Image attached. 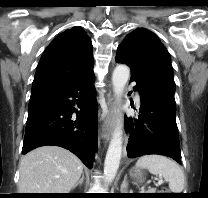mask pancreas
<instances>
[{
	"label": "pancreas",
	"instance_id": "cf45deb5",
	"mask_svg": "<svg viewBox=\"0 0 208 198\" xmlns=\"http://www.w3.org/2000/svg\"><path fill=\"white\" fill-rule=\"evenodd\" d=\"M147 193H155V189H150Z\"/></svg>",
	"mask_w": 208,
	"mask_h": 198
}]
</instances>
